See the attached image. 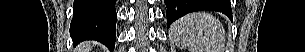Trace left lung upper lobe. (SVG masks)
Wrapping results in <instances>:
<instances>
[{
    "mask_svg": "<svg viewBox=\"0 0 305 52\" xmlns=\"http://www.w3.org/2000/svg\"><path fill=\"white\" fill-rule=\"evenodd\" d=\"M210 3H212L213 6L218 7V8H222L223 6L226 7L227 2L225 0H209ZM184 14H180L178 15L177 18H180L181 16H183Z\"/></svg>",
    "mask_w": 305,
    "mask_h": 52,
    "instance_id": "obj_1",
    "label": "left lung upper lobe"
}]
</instances>
